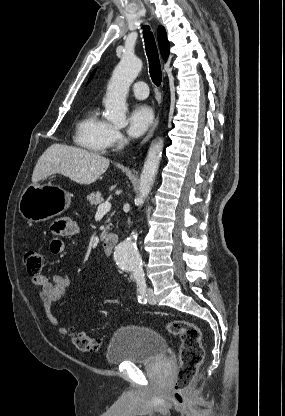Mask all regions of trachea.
<instances>
[{"label": "trachea", "instance_id": "obj_1", "mask_svg": "<svg viewBox=\"0 0 285 416\" xmlns=\"http://www.w3.org/2000/svg\"><path fill=\"white\" fill-rule=\"evenodd\" d=\"M143 29L145 48L149 61L150 76L153 83L159 87L161 85L162 72L155 38L148 26H144Z\"/></svg>", "mask_w": 285, "mask_h": 416}]
</instances>
